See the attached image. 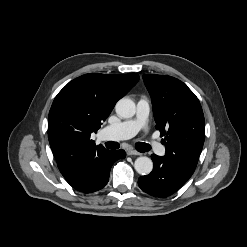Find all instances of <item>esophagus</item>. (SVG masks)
Listing matches in <instances>:
<instances>
[{"instance_id":"obj_1","label":"esophagus","mask_w":247,"mask_h":247,"mask_svg":"<svg viewBox=\"0 0 247 247\" xmlns=\"http://www.w3.org/2000/svg\"><path fill=\"white\" fill-rule=\"evenodd\" d=\"M127 154H128V155H136V156L141 155L140 152H138V151H136V150H133V149H129V150L127 151Z\"/></svg>"}]
</instances>
